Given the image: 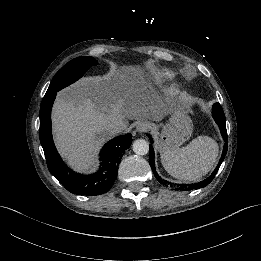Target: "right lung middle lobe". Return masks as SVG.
I'll list each match as a JSON object with an SVG mask.
<instances>
[{"label": "right lung middle lobe", "mask_w": 261, "mask_h": 261, "mask_svg": "<svg viewBox=\"0 0 261 261\" xmlns=\"http://www.w3.org/2000/svg\"><path fill=\"white\" fill-rule=\"evenodd\" d=\"M96 65L97 61L95 58L88 56H80L69 61L56 73L45 96L56 93L64 87L74 83L81 78L91 66Z\"/></svg>", "instance_id": "dd1d6c3e"}]
</instances>
